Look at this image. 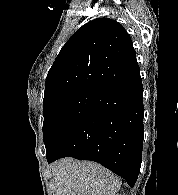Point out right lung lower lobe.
Masks as SVG:
<instances>
[{
  "mask_svg": "<svg viewBox=\"0 0 178 195\" xmlns=\"http://www.w3.org/2000/svg\"><path fill=\"white\" fill-rule=\"evenodd\" d=\"M143 117L139 71L101 89L78 124L47 155V161L64 157L92 160L134 186L142 161Z\"/></svg>",
  "mask_w": 178,
  "mask_h": 195,
  "instance_id": "98d812e1",
  "label": "right lung lower lobe"
}]
</instances>
